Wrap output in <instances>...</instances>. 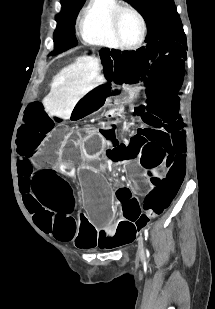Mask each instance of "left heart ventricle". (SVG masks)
I'll use <instances>...</instances> for the list:
<instances>
[{
  "label": "left heart ventricle",
  "mask_w": 215,
  "mask_h": 309,
  "mask_svg": "<svg viewBox=\"0 0 215 309\" xmlns=\"http://www.w3.org/2000/svg\"><path fill=\"white\" fill-rule=\"evenodd\" d=\"M118 29L121 38L118 41H127V45L136 41L138 36V25L136 19L129 13H122Z\"/></svg>",
  "instance_id": "left-heart-ventricle-1"
}]
</instances>
